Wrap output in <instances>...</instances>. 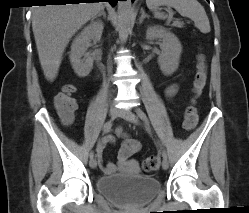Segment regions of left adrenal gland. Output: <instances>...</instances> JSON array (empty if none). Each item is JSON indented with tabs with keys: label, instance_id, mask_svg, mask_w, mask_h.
Here are the masks:
<instances>
[{
	"label": "left adrenal gland",
	"instance_id": "obj_1",
	"mask_svg": "<svg viewBox=\"0 0 249 213\" xmlns=\"http://www.w3.org/2000/svg\"><path fill=\"white\" fill-rule=\"evenodd\" d=\"M140 13H141V17H140V19H139V23H142L143 20H144L146 17L148 18L149 16L145 13V11H144L143 8H141Z\"/></svg>",
	"mask_w": 249,
	"mask_h": 213
}]
</instances>
